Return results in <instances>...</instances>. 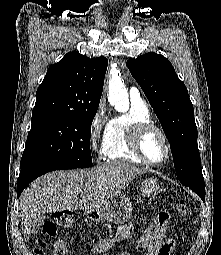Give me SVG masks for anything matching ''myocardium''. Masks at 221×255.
Listing matches in <instances>:
<instances>
[{
    "label": "myocardium",
    "instance_id": "myocardium-1",
    "mask_svg": "<svg viewBox=\"0 0 221 255\" xmlns=\"http://www.w3.org/2000/svg\"><path fill=\"white\" fill-rule=\"evenodd\" d=\"M150 132H156L166 148V157L162 162H153L149 160L143 151V141ZM129 145L133 153L145 164L160 167L167 164L171 158V146L168 137L164 131L152 122H139L131 126L129 130Z\"/></svg>",
    "mask_w": 221,
    "mask_h": 255
}]
</instances>
